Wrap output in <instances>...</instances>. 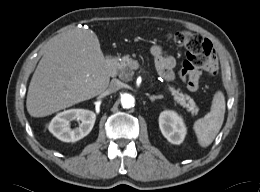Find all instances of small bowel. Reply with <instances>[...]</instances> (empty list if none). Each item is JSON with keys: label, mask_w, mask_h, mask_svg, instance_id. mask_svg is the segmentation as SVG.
I'll use <instances>...</instances> for the list:
<instances>
[{"label": "small bowel", "mask_w": 260, "mask_h": 192, "mask_svg": "<svg viewBox=\"0 0 260 192\" xmlns=\"http://www.w3.org/2000/svg\"><path fill=\"white\" fill-rule=\"evenodd\" d=\"M150 53L154 58L155 65L160 76L166 81L173 80L174 79L173 69L176 65L175 59L172 56L164 55L162 47L160 45H153L150 48ZM203 71L210 74H214L217 71V65L215 67H206L205 69H203L199 75V78L201 77ZM197 89L191 91H196Z\"/></svg>", "instance_id": "obj_1"}]
</instances>
